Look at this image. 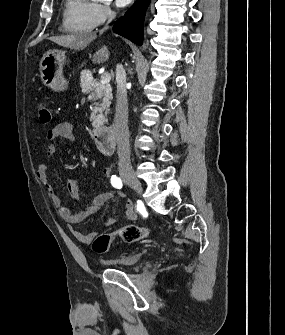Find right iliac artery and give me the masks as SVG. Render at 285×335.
I'll list each match as a JSON object with an SVG mask.
<instances>
[{"label":"right iliac artery","mask_w":285,"mask_h":335,"mask_svg":"<svg viewBox=\"0 0 285 335\" xmlns=\"http://www.w3.org/2000/svg\"><path fill=\"white\" fill-rule=\"evenodd\" d=\"M111 184H112L113 187H115L117 189H121L122 188V181L116 175H112V177H111Z\"/></svg>","instance_id":"obj_1"}]
</instances>
